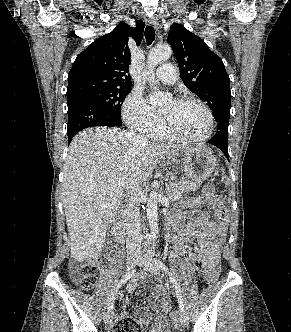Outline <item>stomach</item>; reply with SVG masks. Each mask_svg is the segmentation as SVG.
Returning a JSON list of instances; mask_svg holds the SVG:
<instances>
[{"mask_svg": "<svg viewBox=\"0 0 291 332\" xmlns=\"http://www.w3.org/2000/svg\"><path fill=\"white\" fill-rule=\"evenodd\" d=\"M172 162L180 166L191 180H206L217 167L216 158L206 146L185 148L171 154Z\"/></svg>", "mask_w": 291, "mask_h": 332, "instance_id": "0dacf381", "label": "stomach"}]
</instances>
